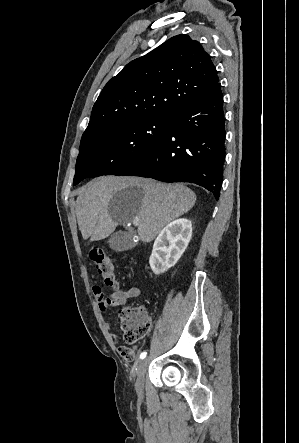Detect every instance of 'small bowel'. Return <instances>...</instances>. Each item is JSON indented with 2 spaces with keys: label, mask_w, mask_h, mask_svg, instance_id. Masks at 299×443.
Returning <instances> with one entry per match:
<instances>
[{
  "label": "small bowel",
  "mask_w": 299,
  "mask_h": 443,
  "mask_svg": "<svg viewBox=\"0 0 299 443\" xmlns=\"http://www.w3.org/2000/svg\"><path fill=\"white\" fill-rule=\"evenodd\" d=\"M93 293L97 298L98 305L101 311H106L109 308H114L117 306H122L127 304L131 299L137 298L140 295V289L135 286H130L126 288H116L111 296H106L103 289L100 286H95L93 288ZM111 341L115 345H119L118 335L111 330L109 324H106ZM134 349H131V354L125 357L127 360H131L134 356Z\"/></svg>",
  "instance_id": "obj_1"
}]
</instances>
